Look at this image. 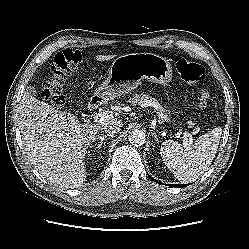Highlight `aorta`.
<instances>
[{
    "instance_id": "762f6f07",
    "label": "aorta",
    "mask_w": 249,
    "mask_h": 249,
    "mask_svg": "<svg viewBox=\"0 0 249 249\" xmlns=\"http://www.w3.org/2000/svg\"><path fill=\"white\" fill-rule=\"evenodd\" d=\"M129 143L134 147H140L145 144L146 135L141 130H133L128 136Z\"/></svg>"
}]
</instances>
